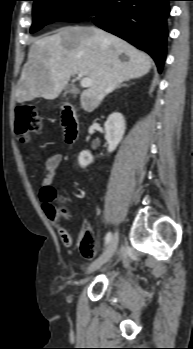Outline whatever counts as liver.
<instances>
[{"label": "liver", "instance_id": "6515ba94", "mask_svg": "<svg viewBox=\"0 0 193 349\" xmlns=\"http://www.w3.org/2000/svg\"><path fill=\"white\" fill-rule=\"evenodd\" d=\"M122 54L128 60H121ZM150 69L151 58L119 37L93 26H67L31 45L16 100L55 99L72 75L82 74L93 82L80 97L82 108L91 112L122 82Z\"/></svg>", "mask_w": 193, "mask_h": 349}]
</instances>
